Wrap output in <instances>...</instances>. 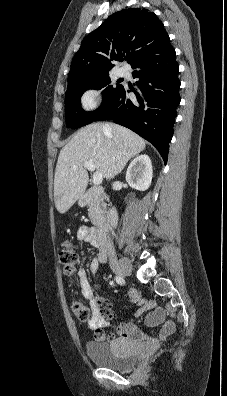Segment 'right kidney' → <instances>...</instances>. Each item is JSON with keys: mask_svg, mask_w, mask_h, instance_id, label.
Segmentation results:
<instances>
[{"mask_svg": "<svg viewBox=\"0 0 227 396\" xmlns=\"http://www.w3.org/2000/svg\"><path fill=\"white\" fill-rule=\"evenodd\" d=\"M152 176V162L146 154L137 156L126 171V181L129 186L140 191H145L149 188Z\"/></svg>", "mask_w": 227, "mask_h": 396, "instance_id": "right-kidney-1", "label": "right kidney"}]
</instances>
